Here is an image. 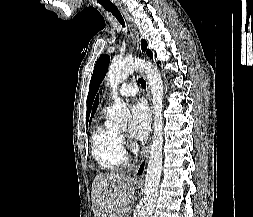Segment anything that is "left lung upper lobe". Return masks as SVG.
Listing matches in <instances>:
<instances>
[{
    "label": "left lung upper lobe",
    "instance_id": "5c2ea615",
    "mask_svg": "<svg viewBox=\"0 0 253 217\" xmlns=\"http://www.w3.org/2000/svg\"><path fill=\"white\" fill-rule=\"evenodd\" d=\"M142 50L147 52L149 57H152V52L147 49V43L145 40H142ZM110 62V57L108 55L101 56L94 67L93 75L90 81L89 93L87 97V120L89 118L91 106L95 97L97 90L99 89V85L102 79L105 77L106 72L108 70V65Z\"/></svg>",
    "mask_w": 253,
    "mask_h": 217
}]
</instances>
